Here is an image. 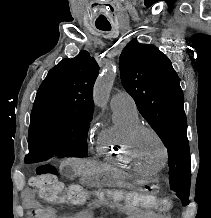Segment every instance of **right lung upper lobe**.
Wrapping results in <instances>:
<instances>
[{
	"label": "right lung upper lobe",
	"mask_w": 211,
	"mask_h": 218,
	"mask_svg": "<svg viewBox=\"0 0 211 218\" xmlns=\"http://www.w3.org/2000/svg\"><path fill=\"white\" fill-rule=\"evenodd\" d=\"M99 67L87 51L52 68L37 91L34 107L93 113V85Z\"/></svg>",
	"instance_id": "obj_1"
}]
</instances>
